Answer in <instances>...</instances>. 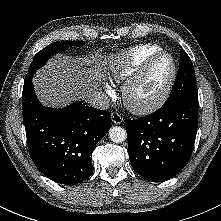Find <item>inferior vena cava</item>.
Returning a JSON list of instances; mask_svg holds the SVG:
<instances>
[{
	"mask_svg": "<svg viewBox=\"0 0 221 221\" xmlns=\"http://www.w3.org/2000/svg\"><path fill=\"white\" fill-rule=\"evenodd\" d=\"M85 101L92 107L106 110L110 105V100L106 94L103 92H94L88 95Z\"/></svg>",
	"mask_w": 221,
	"mask_h": 221,
	"instance_id": "602c4592",
	"label": "inferior vena cava"
}]
</instances>
